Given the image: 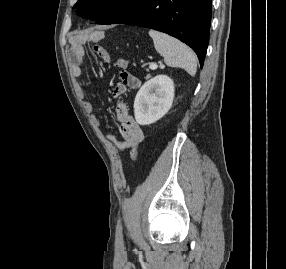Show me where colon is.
I'll return each mask as SVG.
<instances>
[{
    "mask_svg": "<svg viewBox=\"0 0 286 269\" xmlns=\"http://www.w3.org/2000/svg\"><path fill=\"white\" fill-rule=\"evenodd\" d=\"M94 49L97 52H101L102 49L99 46H94ZM127 66H131V61L127 59H120L118 65L116 66L117 70H121L120 79L121 83H117V88H140V78H135L131 75L126 69Z\"/></svg>",
    "mask_w": 286,
    "mask_h": 269,
    "instance_id": "obj_1",
    "label": "colon"
}]
</instances>
